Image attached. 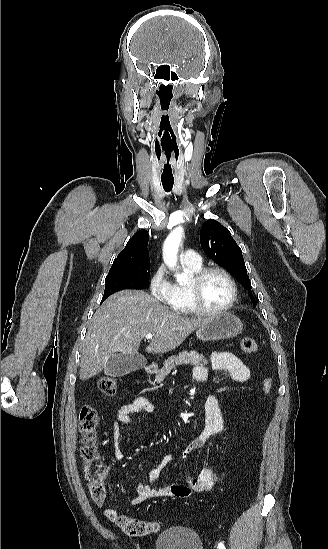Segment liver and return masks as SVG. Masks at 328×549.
Wrapping results in <instances>:
<instances>
[{"label":"liver","mask_w":328,"mask_h":549,"mask_svg":"<svg viewBox=\"0 0 328 549\" xmlns=\"http://www.w3.org/2000/svg\"><path fill=\"white\" fill-rule=\"evenodd\" d=\"M206 319H189L170 311L144 291H119L94 313L83 341L81 381L101 373L114 353L136 355L142 339L153 333L146 353H169Z\"/></svg>","instance_id":"obj_1"}]
</instances>
